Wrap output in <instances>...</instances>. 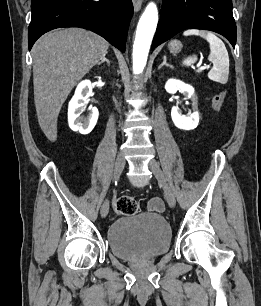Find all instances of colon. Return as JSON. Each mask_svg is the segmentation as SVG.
<instances>
[{"label":"colon","mask_w":261,"mask_h":306,"mask_svg":"<svg viewBox=\"0 0 261 306\" xmlns=\"http://www.w3.org/2000/svg\"><path fill=\"white\" fill-rule=\"evenodd\" d=\"M226 98V92L222 91L213 97V108L216 111L222 109ZM116 209L123 215H133L138 210V204L135 198L131 195H122L116 201Z\"/></svg>","instance_id":"5ec220e1"}]
</instances>
